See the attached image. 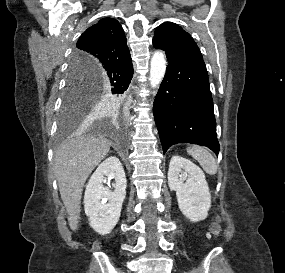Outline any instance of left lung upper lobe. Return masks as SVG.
<instances>
[{
	"instance_id": "5c2ea615",
	"label": "left lung upper lobe",
	"mask_w": 285,
	"mask_h": 273,
	"mask_svg": "<svg viewBox=\"0 0 285 273\" xmlns=\"http://www.w3.org/2000/svg\"><path fill=\"white\" fill-rule=\"evenodd\" d=\"M161 35L181 39L183 43L191 45L200 53V50L197 44L192 39V37L175 23L165 22L160 26H158L154 36H161Z\"/></svg>"
}]
</instances>
